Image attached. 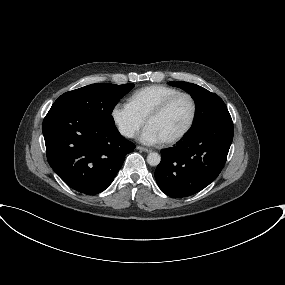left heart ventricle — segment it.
Listing matches in <instances>:
<instances>
[{"instance_id":"left-heart-ventricle-1","label":"left heart ventricle","mask_w":285,"mask_h":285,"mask_svg":"<svg viewBox=\"0 0 285 285\" xmlns=\"http://www.w3.org/2000/svg\"><path fill=\"white\" fill-rule=\"evenodd\" d=\"M192 113L190 100L180 97L161 116L152 119L148 126L153 128L162 141L178 135L188 124Z\"/></svg>"}]
</instances>
